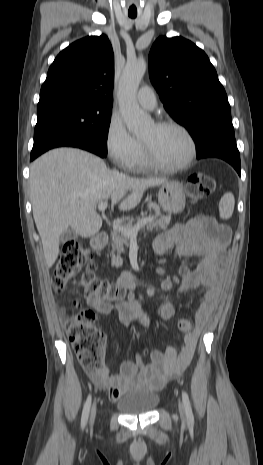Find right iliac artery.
<instances>
[{
    "label": "right iliac artery",
    "instance_id": "1",
    "mask_svg": "<svg viewBox=\"0 0 263 465\" xmlns=\"http://www.w3.org/2000/svg\"><path fill=\"white\" fill-rule=\"evenodd\" d=\"M91 406V395L88 396L81 417V427L84 428L88 421L89 411Z\"/></svg>",
    "mask_w": 263,
    "mask_h": 465
}]
</instances>
